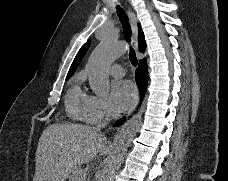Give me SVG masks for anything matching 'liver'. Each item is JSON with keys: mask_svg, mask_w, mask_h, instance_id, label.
I'll use <instances>...</instances> for the list:
<instances>
[{"mask_svg": "<svg viewBox=\"0 0 228 181\" xmlns=\"http://www.w3.org/2000/svg\"><path fill=\"white\" fill-rule=\"evenodd\" d=\"M107 141L86 125H50L36 149L33 181H66L76 165L90 163Z\"/></svg>", "mask_w": 228, "mask_h": 181, "instance_id": "1", "label": "liver"}]
</instances>
